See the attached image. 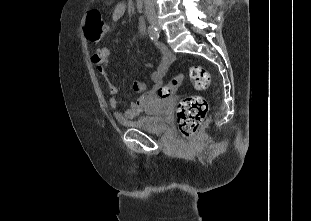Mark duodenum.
Returning a JSON list of instances; mask_svg holds the SVG:
<instances>
[{
	"label": "duodenum",
	"mask_w": 311,
	"mask_h": 221,
	"mask_svg": "<svg viewBox=\"0 0 311 221\" xmlns=\"http://www.w3.org/2000/svg\"><path fill=\"white\" fill-rule=\"evenodd\" d=\"M135 5H136L137 10L143 11L144 10V6H145V0H135ZM145 25H146V23H145L144 20H140L139 21V26L141 28H144Z\"/></svg>",
	"instance_id": "1"
}]
</instances>
